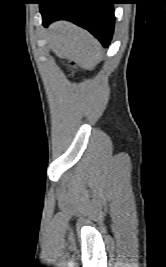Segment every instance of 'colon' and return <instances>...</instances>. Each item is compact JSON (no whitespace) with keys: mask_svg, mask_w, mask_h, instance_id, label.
<instances>
[{"mask_svg":"<svg viewBox=\"0 0 166 267\" xmlns=\"http://www.w3.org/2000/svg\"><path fill=\"white\" fill-rule=\"evenodd\" d=\"M76 66H77V64H76L75 62H72V63H71V67H72V68H76Z\"/></svg>","mask_w":166,"mask_h":267,"instance_id":"colon-1","label":"colon"}]
</instances>
